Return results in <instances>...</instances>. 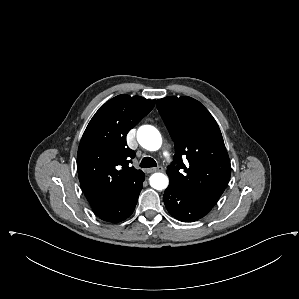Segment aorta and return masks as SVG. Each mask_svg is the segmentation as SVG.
I'll return each mask as SVG.
<instances>
[{
    "label": "aorta",
    "mask_w": 299,
    "mask_h": 299,
    "mask_svg": "<svg viewBox=\"0 0 299 299\" xmlns=\"http://www.w3.org/2000/svg\"><path fill=\"white\" fill-rule=\"evenodd\" d=\"M137 141L145 149L156 151L161 147L160 132L151 125H143L137 131ZM150 186L156 190L166 189L169 184L168 177L163 173H154L150 176Z\"/></svg>",
    "instance_id": "obj_1"
}]
</instances>
